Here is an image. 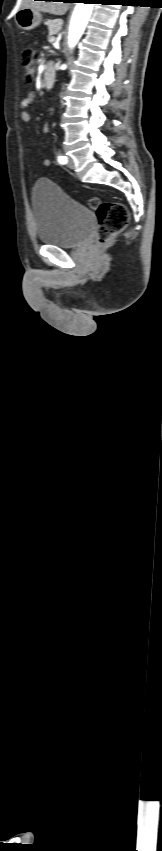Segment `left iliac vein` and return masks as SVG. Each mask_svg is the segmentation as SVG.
Instances as JSON below:
<instances>
[{
    "label": "left iliac vein",
    "instance_id": "obj_1",
    "mask_svg": "<svg viewBox=\"0 0 162 851\" xmlns=\"http://www.w3.org/2000/svg\"><path fill=\"white\" fill-rule=\"evenodd\" d=\"M67 165L70 169L75 168L74 160L71 157L68 158V164Z\"/></svg>",
    "mask_w": 162,
    "mask_h": 851
}]
</instances>
